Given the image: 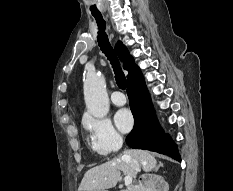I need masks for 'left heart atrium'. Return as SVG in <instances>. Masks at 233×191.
I'll return each instance as SVG.
<instances>
[{"mask_svg": "<svg viewBox=\"0 0 233 191\" xmlns=\"http://www.w3.org/2000/svg\"><path fill=\"white\" fill-rule=\"evenodd\" d=\"M115 123L120 131L128 132L134 124V119L128 109H121L115 115Z\"/></svg>", "mask_w": 233, "mask_h": 191, "instance_id": "left-heart-atrium-1", "label": "left heart atrium"}]
</instances>
